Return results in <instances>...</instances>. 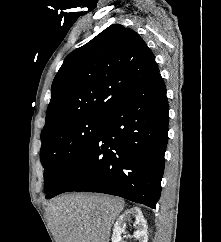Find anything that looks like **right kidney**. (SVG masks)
Masks as SVG:
<instances>
[{
	"label": "right kidney",
	"instance_id": "ca27d5eb",
	"mask_svg": "<svg viewBox=\"0 0 221 242\" xmlns=\"http://www.w3.org/2000/svg\"><path fill=\"white\" fill-rule=\"evenodd\" d=\"M130 215L135 217L136 232L134 237L139 242L148 241L147 223L139 208L134 207L126 210L116 221L113 228L112 242H121V234L124 232V222Z\"/></svg>",
	"mask_w": 221,
	"mask_h": 242
}]
</instances>
